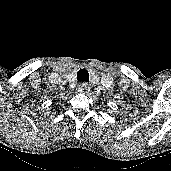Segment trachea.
Returning <instances> with one entry per match:
<instances>
[{"label":"trachea","mask_w":171,"mask_h":171,"mask_svg":"<svg viewBox=\"0 0 171 171\" xmlns=\"http://www.w3.org/2000/svg\"><path fill=\"white\" fill-rule=\"evenodd\" d=\"M77 80L80 82H89V73L86 69H80L77 72Z\"/></svg>","instance_id":"obj_1"}]
</instances>
